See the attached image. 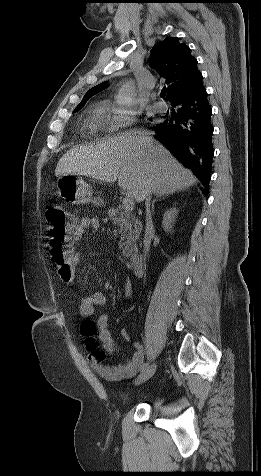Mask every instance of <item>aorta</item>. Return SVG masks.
Wrapping results in <instances>:
<instances>
[{
  "mask_svg": "<svg viewBox=\"0 0 261 476\" xmlns=\"http://www.w3.org/2000/svg\"><path fill=\"white\" fill-rule=\"evenodd\" d=\"M133 101V91L128 86L125 87L119 94L117 102L121 105H129Z\"/></svg>",
  "mask_w": 261,
  "mask_h": 476,
  "instance_id": "762f6f07",
  "label": "aorta"
}]
</instances>
